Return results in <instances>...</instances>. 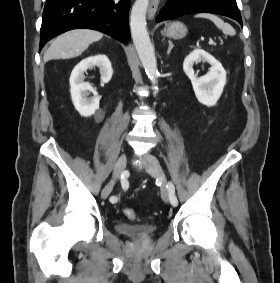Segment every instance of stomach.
I'll list each match as a JSON object with an SVG mask.
<instances>
[{
	"label": "stomach",
	"mask_w": 280,
	"mask_h": 283,
	"mask_svg": "<svg viewBox=\"0 0 280 283\" xmlns=\"http://www.w3.org/2000/svg\"><path fill=\"white\" fill-rule=\"evenodd\" d=\"M187 31V27L183 23L173 21L167 23L161 33L168 38L182 39L186 36Z\"/></svg>",
	"instance_id": "1"
}]
</instances>
